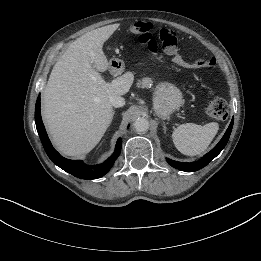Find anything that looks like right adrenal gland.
I'll list each match as a JSON object with an SVG mask.
<instances>
[{"label": "right adrenal gland", "instance_id": "2a0ac1e0", "mask_svg": "<svg viewBox=\"0 0 261 261\" xmlns=\"http://www.w3.org/2000/svg\"><path fill=\"white\" fill-rule=\"evenodd\" d=\"M114 114H115V111H113V116H114Z\"/></svg>", "mask_w": 261, "mask_h": 261}]
</instances>
